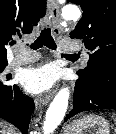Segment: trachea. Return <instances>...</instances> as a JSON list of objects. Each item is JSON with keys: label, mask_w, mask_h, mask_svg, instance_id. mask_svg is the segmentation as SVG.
<instances>
[{"label": "trachea", "mask_w": 116, "mask_h": 134, "mask_svg": "<svg viewBox=\"0 0 116 134\" xmlns=\"http://www.w3.org/2000/svg\"><path fill=\"white\" fill-rule=\"evenodd\" d=\"M15 43V42H14ZM42 46H46L49 49L55 50L56 49V44L55 41L51 35V30L50 28H44L39 37L34 41L33 44H31V49L33 50H37L39 48H41ZM62 56H66V57H74L76 56V54H69V55H63Z\"/></svg>", "instance_id": "1"}]
</instances>
